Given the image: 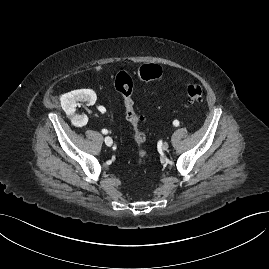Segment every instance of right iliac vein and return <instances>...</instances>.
Returning <instances> with one entry per match:
<instances>
[{"instance_id":"right-iliac-vein-1","label":"right iliac vein","mask_w":269,"mask_h":269,"mask_svg":"<svg viewBox=\"0 0 269 269\" xmlns=\"http://www.w3.org/2000/svg\"><path fill=\"white\" fill-rule=\"evenodd\" d=\"M104 141H105V144H106L107 146H112V144H113V140H112V138L109 137V136L105 137Z\"/></svg>"}]
</instances>
